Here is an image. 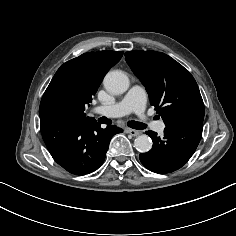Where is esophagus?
<instances>
[{"mask_svg":"<svg viewBox=\"0 0 236 236\" xmlns=\"http://www.w3.org/2000/svg\"><path fill=\"white\" fill-rule=\"evenodd\" d=\"M125 132L127 133V134H130V135H132V136H138V135H140V131H138V130H134V129H130V128H127V129H125Z\"/></svg>","mask_w":236,"mask_h":236,"instance_id":"1","label":"esophagus"}]
</instances>
